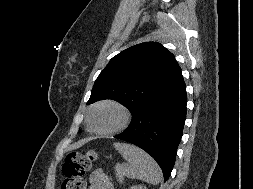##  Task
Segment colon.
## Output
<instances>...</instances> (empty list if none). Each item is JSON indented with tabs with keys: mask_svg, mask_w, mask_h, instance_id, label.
I'll return each mask as SVG.
<instances>
[{
	"mask_svg": "<svg viewBox=\"0 0 253 189\" xmlns=\"http://www.w3.org/2000/svg\"><path fill=\"white\" fill-rule=\"evenodd\" d=\"M97 156L94 152H73L67 155L62 167L61 189H86L85 175Z\"/></svg>",
	"mask_w": 253,
	"mask_h": 189,
	"instance_id": "obj_1",
	"label": "colon"
}]
</instances>
